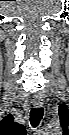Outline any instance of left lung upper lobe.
I'll use <instances>...</instances> for the list:
<instances>
[{
    "label": "left lung upper lobe",
    "mask_w": 69,
    "mask_h": 135,
    "mask_svg": "<svg viewBox=\"0 0 69 135\" xmlns=\"http://www.w3.org/2000/svg\"><path fill=\"white\" fill-rule=\"evenodd\" d=\"M59 113H60V119H62L68 115V110L64 105H61L59 109Z\"/></svg>",
    "instance_id": "obj_1"
}]
</instances>
